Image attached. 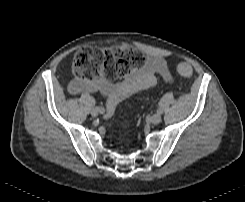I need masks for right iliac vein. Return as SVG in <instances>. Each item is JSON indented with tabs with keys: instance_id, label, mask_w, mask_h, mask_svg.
<instances>
[{
	"instance_id": "63e3f726",
	"label": "right iliac vein",
	"mask_w": 245,
	"mask_h": 202,
	"mask_svg": "<svg viewBox=\"0 0 245 202\" xmlns=\"http://www.w3.org/2000/svg\"><path fill=\"white\" fill-rule=\"evenodd\" d=\"M102 112V110L99 108V107H95V108H93L92 110H91V115L93 116V117H96L99 113H101Z\"/></svg>"
}]
</instances>
